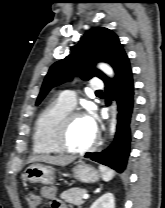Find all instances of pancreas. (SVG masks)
Instances as JSON below:
<instances>
[{
    "mask_svg": "<svg viewBox=\"0 0 165 208\" xmlns=\"http://www.w3.org/2000/svg\"><path fill=\"white\" fill-rule=\"evenodd\" d=\"M86 192V189L75 187L61 193L60 198L67 203L80 207L84 203L83 195L86 194Z\"/></svg>",
    "mask_w": 165,
    "mask_h": 208,
    "instance_id": "obj_1",
    "label": "pancreas"
}]
</instances>
